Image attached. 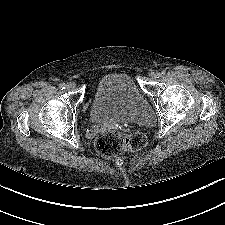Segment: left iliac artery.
I'll return each instance as SVG.
<instances>
[{
	"label": "left iliac artery",
	"mask_w": 225,
	"mask_h": 225,
	"mask_svg": "<svg viewBox=\"0 0 225 225\" xmlns=\"http://www.w3.org/2000/svg\"><path fill=\"white\" fill-rule=\"evenodd\" d=\"M164 74H165V70H162L161 72H159L158 78H159L160 76L164 75Z\"/></svg>",
	"instance_id": "obj_1"
}]
</instances>
